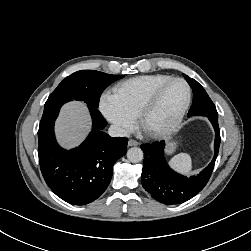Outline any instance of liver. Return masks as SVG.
<instances>
[{
    "instance_id": "1",
    "label": "liver",
    "mask_w": 251,
    "mask_h": 251,
    "mask_svg": "<svg viewBox=\"0 0 251 251\" xmlns=\"http://www.w3.org/2000/svg\"><path fill=\"white\" fill-rule=\"evenodd\" d=\"M91 128V118L84 103L65 104L56 121L55 132L59 143L66 148L79 145Z\"/></svg>"
}]
</instances>
